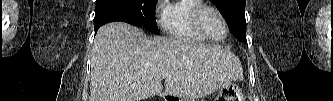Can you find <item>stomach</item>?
I'll list each match as a JSON object with an SVG mask.
<instances>
[{"mask_svg":"<svg viewBox=\"0 0 333 101\" xmlns=\"http://www.w3.org/2000/svg\"><path fill=\"white\" fill-rule=\"evenodd\" d=\"M179 101L189 100L181 99ZM214 101H245V99L241 89L237 85L230 83L219 89V93Z\"/></svg>","mask_w":333,"mask_h":101,"instance_id":"obj_1","label":"stomach"}]
</instances>
